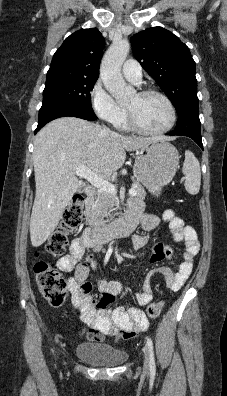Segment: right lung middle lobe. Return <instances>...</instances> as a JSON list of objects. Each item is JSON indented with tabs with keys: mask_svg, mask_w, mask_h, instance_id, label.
Returning <instances> with one entry per match:
<instances>
[{
	"mask_svg": "<svg viewBox=\"0 0 227 396\" xmlns=\"http://www.w3.org/2000/svg\"><path fill=\"white\" fill-rule=\"evenodd\" d=\"M96 80L97 77L68 72H48L42 107L56 103H68L87 113L94 114L90 92L93 90Z\"/></svg>",
	"mask_w": 227,
	"mask_h": 396,
	"instance_id": "right-lung-middle-lobe-1",
	"label": "right lung middle lobe"
}]
</instances>
